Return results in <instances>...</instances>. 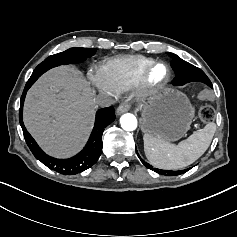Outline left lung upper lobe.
Wrapping results in <instances>:
<instances>
[{"mask_svg":"<svg viewBox=\"0 0 237 237\" xmlns=\"http://www.w3.org/2000/svg\"><path fill=\"white\" fill-rule=\"evenodd\" d=\"M169 55L173 59L172 67L176 73V78L174 79V81H172L173 85L180 86V85H184L189 82L197 81V82H202L211 88L213 87L211 81L209 80V78L206 76V74L201 69L182 60L181 58H179L177 55H175L173 53H169ZM139 158H140L141 162L146 167H148L151 170H154L155 172H157L159 174H163L166 176H175V175H178L184 171V170H182V171H167V170H159L157 168L154 169L151 165L144 162L140 156H139Z\"/></svg>","mask_w":237,"mask_h":237,"instance_id":"5c2ea615","label":"left lung upper lobe"}]
</instances>
